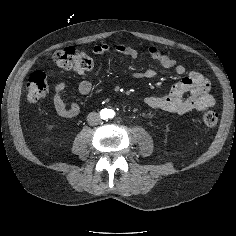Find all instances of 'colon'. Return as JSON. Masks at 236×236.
I'll return each mask as SVG.
<instances>
[{"label": "colon", "mask_w": 236, "mask_h": 236, "mask_svg": "<svg viewBox=\"0 0 236 236\" xmlns=\"http://www.w3.org/2000/svg\"><path fill=\"white\" fill-rule=\"evenodd\" d=\"M53 61L62 69L72 70L77 73H85L92 69L93 61L89 55L73 47H66L52 53ZM27 98L36 102L45 97L49 92V85L46 75L42 72H34L26 83ZM207 126H215L218 122V114L215 111L207 110L202 116Z\"/></svg>", "instance_id": "1"}]
</instances>
